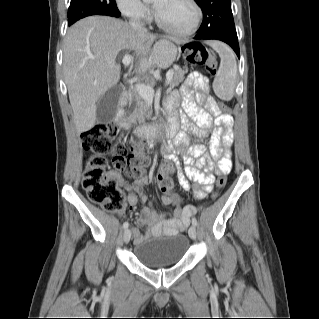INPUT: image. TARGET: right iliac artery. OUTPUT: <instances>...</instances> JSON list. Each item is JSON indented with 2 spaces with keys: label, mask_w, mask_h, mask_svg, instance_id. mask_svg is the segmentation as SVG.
Segmentation results:
<instances>
[{
  "label": "right iliac artery",
  "mask_w": 319,
  "mask_h": 319,
  "mask_svg": "<svg viewBox=\"0 0 319 319\" xmlns=\"http://www.w3.org/2000/svg\"><path fill=\"white\" fill-rule=\"evenodd\" d=\"M128 225H129L128 222H125V223L123 224V228H124V229L128 228Z\"/></svg>",
  "instance_id": "obj_1"
}]
</instances>
